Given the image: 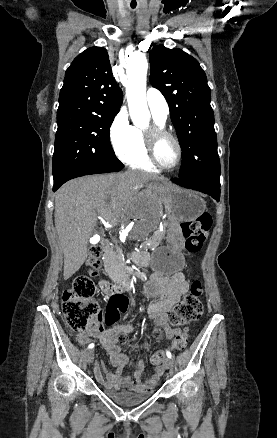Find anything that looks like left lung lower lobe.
<instances>
[{
    "mask_svg": "<svg viewBox=\"0 0 277 438\" xmlns=\"http://www.w3.org/2000/svg\"><path fill=\"white\" fill-rule=\"evenodd\" d=\"M172 182L190 189H194L212 196L219 201L220 199V180L208 178L201 180H185L181 178L172 179Z\"/></svg>",
    "mask_w": 277,
    "mask_h": 438,
    "instance_id": "left-lung-lower-lobe-1",
    "label": "left lung lower lobe"
}]
</instances>
